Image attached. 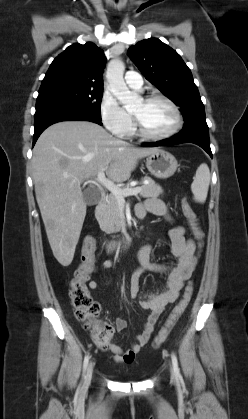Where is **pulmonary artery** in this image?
Instances as JSON below:
<instances>
[{
    "mask_svg": "<svg viewBox=\"0 0 248 419\" xmlns=\"http://www.w3.org/2000/svg\"><path fill=\"white\" fill-rule=\"evenodd\" d=\"M124 79L128 87L137 89V90L142 88L143 79L140 73L136 71H128L125 74Z\"/></svg>",
    "mask_w": 248,
    "mask_h": 419,
    "instance_id": "pulmonary-artery-1",
    "label": "pulmonary artery"
}]
</instances>
